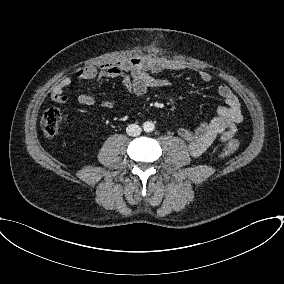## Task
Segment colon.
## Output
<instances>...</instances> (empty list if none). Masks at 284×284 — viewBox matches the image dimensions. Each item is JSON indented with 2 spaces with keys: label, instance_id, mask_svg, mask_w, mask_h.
Returning a JSON list of instances; mask_svg holds the SVG:
<instances>
[{
  "label": "colon",
  "instance_id": "1",
  "mask_svg": "<svg viewBox=\"0 0 284 284\" xmlns=\"http://www.w3.org/2000/svg\"><path fill=\"white\" fill-rule=\"evenodd\" d=\"M61 119L62 116L59 109L55 107L46 109L40 119V126L43 133L48 137L55 136L59 131ZM238 147V141L236 139H232L227 144L222 155L229 156L230 154L234 153Z\"/></svg>",
  "mask_w": 284,
  "mask_h": 284
}]
</instances>
